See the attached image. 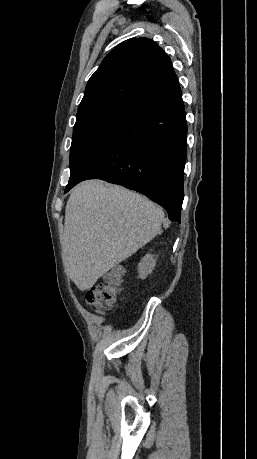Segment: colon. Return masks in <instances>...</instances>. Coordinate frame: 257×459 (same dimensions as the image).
<instances>
[{"mask_svg":"<svg viewBox=\"0 0 257 459\" xmlns=\"http://www.w3.org/2000/svg\"><path fill=\"white\" fill-rule=\"evenodd\" d=\"M122 269L116 267L105 276L104 282L87 290L86 302L97 311L110 308L117 302L122 288Z\"/></svg>","mask_w":257,"mask_h":459,"instance_id":"colon-1","label":"colon"}]
</instances>
